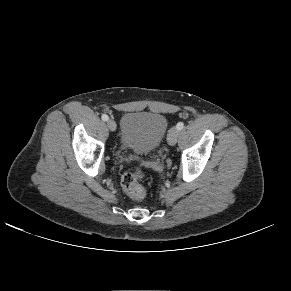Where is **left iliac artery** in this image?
<instances>
[{
  "mask_svg": "<svg viewBox=\"0 0 291 291\" xmlns=\"http://www.w3.org/2000/svg\"><path fill=\"white\" fill-rule=\"evenodd\" d=\"M176 127H177L178 130H181L184 127V123L183 122H179V123H177Z\"/></svg>",
  "mask_w": 291,
  "mask_h": 291,
  "instance_id": "1",
  "label": "left iliac artery"
}]
</instances>
